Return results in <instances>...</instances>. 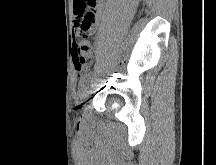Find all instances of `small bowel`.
<instances>
[{
    "instance_id": "c3829d8e",
    "label": "small bowel",
    "mask_w": 216,
    "mask_h": 165,
    "mask_svg": "<svg viewBox=\"0 0 216 165\" xmlns=\"http://www.w3.org/2000/svg\"><path fill=\"white\" fill-rule=\"evenodd\" d=\"M73 5L75 14V29L81 23L87 12H91L93 14V26L98 23L103 13V0H73Z\"/></svg>"
}]
</instances>
